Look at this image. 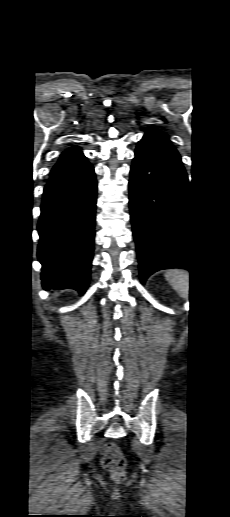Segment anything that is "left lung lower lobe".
<instances>
[{
  "mask_svg": "<svg viewBox=\"0 0 230 517\" xmlns=\"http://www.w3.org/2000/svg\"><path fill=\"white\" fill-rule=\"evenodd\" d=\"M129 193L141 282L162 269L192 271L188 176L170 143L142 138L130 170Z\"/></svg>",
  "mask_w": 230,
  "mask_h": 517,
  "instance_id": "1",
  "label": "left lung lower lobe"
}]
</instances>
